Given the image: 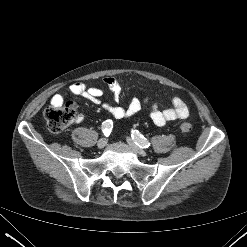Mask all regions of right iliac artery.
<instances>
[{"label":"right iliac artery","instance_id":"1","mask_svg":"<svg viewBox=\"0 0 247 247\" xmlns=\"http://www.w3.org/2000/svg\"><path fill=\"white\" fill-rule=\"evenodd\" d=\"M113 128V122L106 120L102 123V130L105 136H109Z\"/></svg>","mask_w":247,"mask_h":247}]
</instances>
